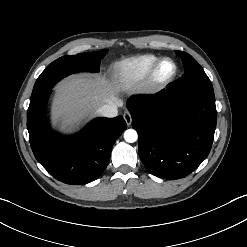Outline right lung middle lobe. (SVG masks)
<instances>
[{
	"label": "right lung middle lobe",
	"mask_w": 247,
	"mask_h": 247,
	"mask_svg": "<svg viewBox=\"0 0 247 247\" xmlns=\"http://www.w3.org/2000/svg\"><path fill=\"white\" fill-rule=\"evenodd\" d=\"M108 50L92 53H80L72 56H63L52 62L41 73L35 82L30 104H35L51 92L54 85L62 78L79 71H99V59L103 58Z\"/></svg>",
	"instance_id": "obj_1"
}]
</instances>
